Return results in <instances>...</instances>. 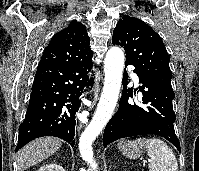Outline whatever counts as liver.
<instances>
[{
	"mask_svg": "<svg viewBox=\"0 0 199 171\" xmlns=\"http://www.w3.org/2000/svg\"><path fill=\"white\" fill-rule=\"evenodd\" d=\"M61 144V139L51 136L31 141L17 153L18 170L24 171L50 157L61 147Z\"/></svg>",
	"mask_w": 199,
	"mask_h": 171,
	"instance_id": "liver-1",
	"label": "liver"
}]
</instances>
